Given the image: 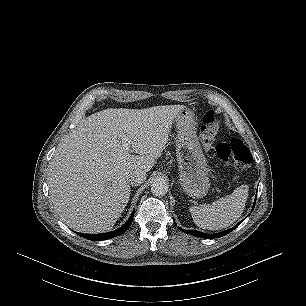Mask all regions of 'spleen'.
I'll use <instances>...</instances> for the list:
<instances>
[{"instance_id": "obj_1", "label": "spleen", "mask_w": 306, "mask_h": 306, "mask_svg": "<svg viewBox=\"0 0 306 306\" xmlns=\"http://www.w3.org/2000/svg\"><path fill=\"white\" fill-rule=\"evenodd\" d=\"M248 198V186L241 185L232 194L222 197L212 204L191 206L189 208L194 223L208 230L226 228L238 220Z\"/></svg>"}]
</instances>
